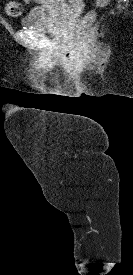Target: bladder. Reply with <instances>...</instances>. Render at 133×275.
Returning <instances> with one entry per match:
<instances>
[{"label":"bladder","mask_w":133,"mask_h":275,"mask_svg":"<svg viewBox=\"0 0 133 275\" xmlns=\"http://www.w3.org/2000/svg\"><path fill=\"white\" fill-rule=\"evenodd\" d=\"M49 4L38 5L30 9L21 21L26 29L39 32H52L59 28L63 19L62 3L65 0H49Z\"/></svg>","instance_id":"obj_1"}]
</instances>
